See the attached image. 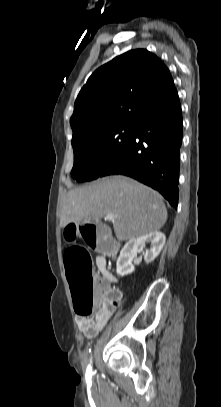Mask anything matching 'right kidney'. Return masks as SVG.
Wrapping results in <instances>:
<instances>
[{"label": "right kidney", "mask_w": 221, "mask_h": 407, "mask_svg": "<svg viewBox=\"0 0 221 407\" xmlns=\"http://www.w3.org/2000/svg\"><path fill=\"white\" fill-rule=\"evenodd\" d=\"M166 241V237L162 232H152L138 238L129 240L120 252L117 260V274L125 276L134 272L135 268L132 264L137 252L141 251L146 243L151 244V248L144 253V260L147 263L152 262L161 252Z\"/></svg>", "instance_id": "1"}]
</instances>
